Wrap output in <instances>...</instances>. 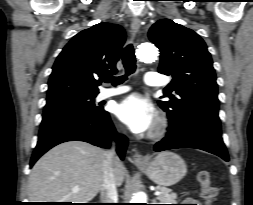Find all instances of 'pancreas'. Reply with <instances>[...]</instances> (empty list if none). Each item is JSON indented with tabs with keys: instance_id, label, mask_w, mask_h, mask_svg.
Here are the masks:
<instances>
[{
	"instance_id": "pancreas-1",
	"label": "pancreas",
	"mask_w": 253,
	"mask_h": 205,
	"mask_svg": "<svg viewBox=\"0 0 253 205\" xmlns=\"http://www.w3.org/2000/svg\"><path fill=\"white\" fill-rule=\"evenodd\" d=\"M156 189L161 193L157 197L161 204H176L177 195L175 193H172L169 188L164 186H157Z\"/></svg>"
}]
</instances>
